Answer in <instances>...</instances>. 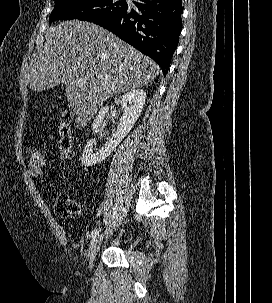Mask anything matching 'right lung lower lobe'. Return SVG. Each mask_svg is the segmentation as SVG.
Masks as SVG:
<instances>
[{"label":"right lung lower lobe","instance_id":"obj_1","mask_svg":"<svg viewBox=\"0 0 272 303\" xmlns=\"http://www.w3.org/2000/svg\"><path fill=\"white\" fill-rule=\"evenodd\" d=\"M125 11L93 23L154 59L166 75L182 29V0L133 1Z\"/></svg>","mask_w":272,"mask_h":303}]
</instances>
